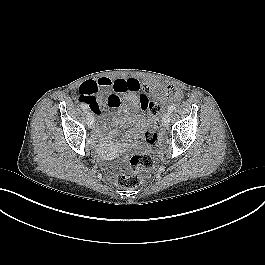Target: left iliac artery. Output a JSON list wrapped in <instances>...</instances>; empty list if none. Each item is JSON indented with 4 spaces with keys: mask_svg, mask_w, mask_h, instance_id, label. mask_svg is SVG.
<instances>
[{
    "mask_svg": "<svg viewBox=\"0 0 265 265\" xmlns=\"http://www.w3.org/2000/svg\"><path fill=\"white\" fill-rule=\"evenodd\" d=\"M176 109V105L175 104H172L168 107V112L169 113H172L174 110Z\"/></svg>",
    "mask_w": 265,
    "mask_h": 265,
    "instance_id": "1",
    "label": "left iliac artery"
}]
</instances>
